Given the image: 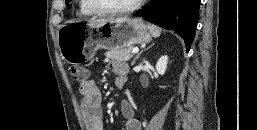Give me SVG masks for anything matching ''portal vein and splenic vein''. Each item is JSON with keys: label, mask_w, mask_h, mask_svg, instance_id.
I'll return each mask as SVG.
<instances>
[{"label": "portal vein and splenic vein", "mask_w": 257, "mask_h": 130, "mask_svg": "<svg viewBox=\"0 0 257 130\" xmlns=\"http://www.w3.org/2000/svg\"><path fill=\"white\" fill-rule=\"evenodd\" d=\"M138 51H139L138 48H134V49L132 50V53L135 54V53H137Z\"/></svg>", "instance_id": "portal-vein-and-splenic-vein-1"}]
</instances>
